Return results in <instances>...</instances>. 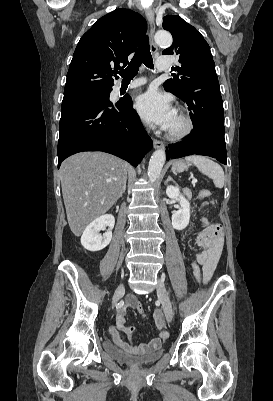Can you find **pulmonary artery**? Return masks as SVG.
I'll return each mask as SVG.
<instances>
[{
    "label": "pulmonary artery",
    "mask_w": 273,
    "mask_h": 401,
    "mask_svg": "<svg viewBox=\"0 0 273 401\" xmlns=\"http://www.w3.org/2000/svg\"><path fill=\"white\" fill-rule=\"evenodd\" d=\"M156 63L159 66L160 71L162 72H168L171 69V66L170 64H168V60L166 57H158ZM139 80H143V77H139ZM120 86L122 88H125L127 86V83L125 81H122L120 83ZM132 86H135V83H132Z\"/></svg>",
    "instance_id": "e3ab8cb5"
}]
</instances>
